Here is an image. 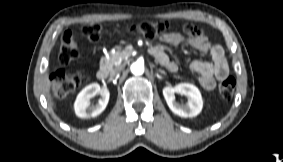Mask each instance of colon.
Here are the masks:
<instances>
[{"mask_svg":"<svg viewBox=\"0 0 283 162\" xmlns=\"http://www.w3.org/2000/svg\"><path fill=\"white\" fill-rule=\"evenodd\" d=\"M167 22H142L132 26V30L140 33L146 38L152 39L165 34L168 30ZM82 34L90 41H98L101 37L102 27L99 23H87L82 26ZM79 55L78 48L70 30L65 31L61 37V45L58 60L61 65L66 66ZM83 75L79 72H69L58 69L50 75L51 89L55 97L65 98L73 93L81 84ZM236 81L233 77H226L218 86L220 96L224 100H230L235 91Z\"/></svg>","mask_w":283,"mask_h":162,"instance_id":"5ec220e1","label":"colon"}]
</instances>
